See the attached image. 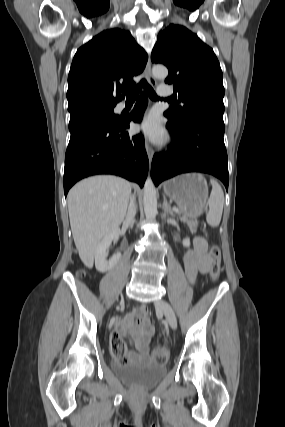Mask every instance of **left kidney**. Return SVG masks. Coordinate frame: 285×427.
Returning a JSON list of instances; mask_svg holds the SVG:
<instances>
[{
  "label": "left kidney",
  "mask_w": 285,
  "mask_h": 427,
  "mask_svg": "<svg viewBox=\"0 0 285 427\" xmlns=\"http://www.w3.org/2000/svg\"><path fill=\"white\" fill-rule=\"evenodd\" d=\"M182 244L184 247H189L190 246V239L189 238L183 239Z\"/></svg>",
  "instance_id": "1"
}]
</instances>
